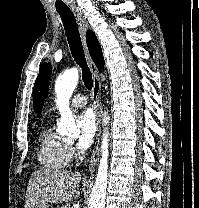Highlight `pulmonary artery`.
<instances>
[{
	"mask_svg": "<svg viewBox=\"0 0 199 208\" xmlns=\"http://www.w3.org/2000/svg\"><path fill=\"white\" fill-rule=\"evenodd\" d=\"M86 104L87 98L83 94H75L70 101V105L75 108L83 107Z\"/></svg>",
	"mask_w": 199,
	"mask_h": 208,
	"instance_id": "obj_1",
	"label": "pulmonary artery"
}]
</instances>
